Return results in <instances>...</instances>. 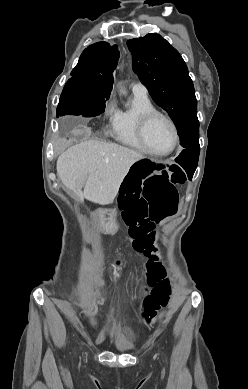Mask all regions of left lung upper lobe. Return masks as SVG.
I'll list each match as a JSON object with an SVG mask.
<instances>
[{"label":"left lung upper lobe","mask_w":248,"mask_h":389,"mask_svg":"<svg viewBox=\"0 0 248 389\" xmlns=\"http://www.w3.org/2000/svg\"><path fill=\"white\" fill-rule=\"evenodd\" d=\"M133 55V70L145 85L153 100L161 106L173 120L180 144L184 148L195 146L199 139H190L182 132L183 119L197 112L194 86L188 75V68L167 40L159 34L127 41Z\"/></svg>","instance_id":"1"}]
</instances>
